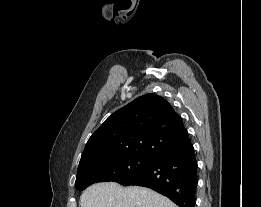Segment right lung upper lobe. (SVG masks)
Instances as JSON below:
<instances>
[{
	"label": "right lung upper lobe",
	"mask_w": 261,
	"mask_h": 207,
	"mask_svg": "<svg viewBox=\"0 0 261 207\" xmlns=\"http://www.w3.org/2000/svg\"><path fill=\"white\" fill-rule=\"evenodd\" d=\"M189 142L181 117L164 98L150 93L106 119L89 138L78 168L130 155L156 158Z\"/></svg>",
	"instance_id": "1"
}]
</instances>
